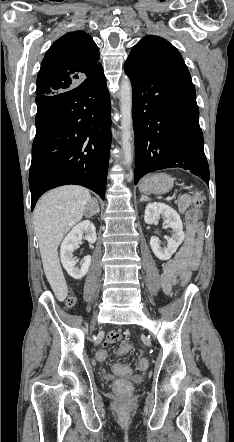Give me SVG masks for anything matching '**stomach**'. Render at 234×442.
Instances as JSON below:
<instances>
[{"instance_id":"stomach-1","label":"stomach","mask_w":234,"mask_h":442,"mask_svg":"<svg viewBox=\"0 0 234 442\" xmlns=\"http://www.w3.org/2000/svg\"><path fill=\"white\" fill-rule=\"evenodd\" d=\"M174 184V179L166 173H157L144 178L139 189L141 192L149 194H164L169 192Z\"/></svg>"}]
</instances>
